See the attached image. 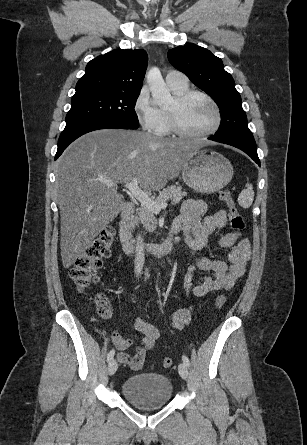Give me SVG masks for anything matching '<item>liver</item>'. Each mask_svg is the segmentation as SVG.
I'll use <instances>...</instances> for the list:
<instances>
[{
	"instance_id": "1",
	"label": "liver",
	"mask_w": 307,
	"mask_h": 445,
	"mask_svg": "<svg viewBox=\"0 0 307 445\" xmlns=\"http://www.w3.org/2000/svg\"><path fill=\"white\" fill-rule=\"evenodd\" d=\"M197 148L200 144L195 140L122 128L93 130L74 140L56 170L64 269L92 247L95 237L124 208L117 182L138 178L144 190H160L179 176ZM97 178L110 180L114 186Z\"/></svg>"
}]
</instances>
